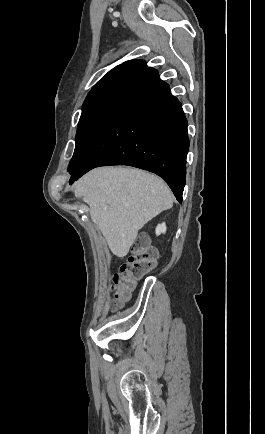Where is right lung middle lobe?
Masks as SVG:
<instances>
[{
	"label": "right lung middle lobe",
	"mask_w": 265,
	"mask_h": 434,
	"mask_svg": "<svg viewBox=\"0 0 265 434\" xmlns=\"http://www.w3.org/2000/svg\"><path fill=\"white\" fill-rule=\"evenodd\" d=\"M133 77L120 75L101 80L90 91L83 104L69 169L77 166L85 156L118 97Z\"/></svg>",
	"instance_id": "right-lung-middle-lobe-1"
}]
</instances>
